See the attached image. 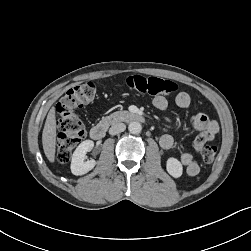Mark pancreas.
Wrapping results in <instances>:
<instances>
[{"label":"pancreas","instance_id":"cf45deb5","mask_svg":"<svg viewBox=\"0 0 251 251\" xmlns=\"http://www.w3.org/2000/svg\"><path fill=\"white\" fill-rule=\"evenodd\" d=\"M126 114H127L126 111H117V112H114V113L110 114L109 116L104 117L100 121V124L108 127L111 124H114V123H116L118 121H121Z\"/></svg>","mask_w":251,"mask_h":251}]
</instances>
